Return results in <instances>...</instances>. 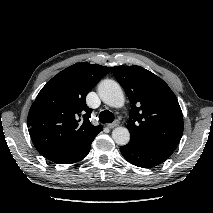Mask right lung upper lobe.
<instances>
[{
    "label": "right lung upper lobe",
    "instance_id": "1",
    "mask_svg": "<svg viewBox=\"0 0 213 213\" xmlns=\"http://www.w3.org/2000/svg\"><path fill=\"white\" fill-rule=\"evenodd\" d=\"M109 71L97 64L76 63L46 83L27 118L29 134L39 153L75 149L102 130L90 123L92 110L85 99Z\"/></svg>",
    "mask_w": 213,
    "mask_h": 213
}]
</instances>
